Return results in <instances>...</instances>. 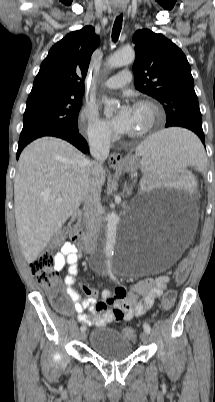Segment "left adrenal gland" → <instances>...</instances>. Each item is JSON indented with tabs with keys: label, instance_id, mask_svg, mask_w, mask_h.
Returning <instances> with one entry per match:
<instances>
[{
	"label": "left adrenal gland",
	"instance_id": "1",
	"mask_svg": "<svg viewBox=\"0 0 215 402\" xmlns=\"http://www.w3.org/2000/svg\"><path fill=\"white\" fill-rule=\"evenodd\" d=\"M133 186L134 183L131 185H128L127 183L124 184V192L126 193V196H130L132 194Z\"/></svg>",
	"mask_w": 215,
	"mask_h": 402
}]
</instances>
